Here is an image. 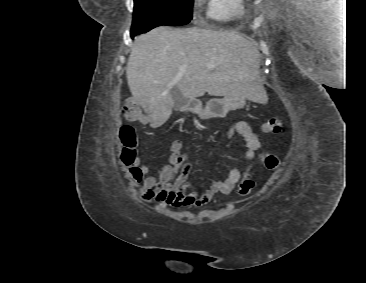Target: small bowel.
I'll return each mask as SVG.
<instances>
[{"instance_id":"1","label":"small bowel","mask_w":366,"mask_h":283,"mask_svg":"<svg viewBox=\"0 0 366 283\" xmlns=\"http://www.w3.org/2000/svg\"><path fill=\"white\" fill-rule=\"evenodd\" d=\"M225 135L228 138L234 135L244 138L247 143V166L253 165L255 154L262 143L252 124L246 120H238L225 130ZM125 165L132 183H142L139 188L142 200H154L162 207H200L208 203L215 194H230L242 178L240 168L234 166L224 179L214 181L204 192L193 191L188 182L193 162L183 152V142L177 139L171 142L168 164L161 167L156 174H149V168L137 158Z\"/></svg>"}]
</instances>
